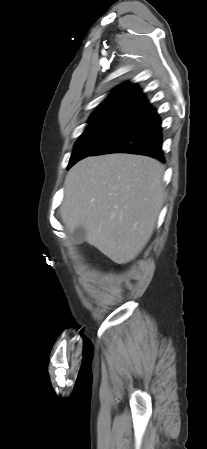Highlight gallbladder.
<instances>
[{"instance_id": "obj_1", "label": "gallbladder", "mask_w": 207, "mask_h": 449, "mask_svg": "<svg viewBox=\"0 0 207 449\" xmlns=\"http://www.w3.org/2000/svg\"><path fill=\"white\" fill-rule=\"evenodd\" d=\"M71 236L75 242L83 243L86 239V230L82 226H78L73 230Z\"/></svg>"}]
</instances>
